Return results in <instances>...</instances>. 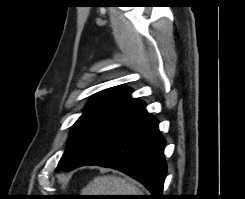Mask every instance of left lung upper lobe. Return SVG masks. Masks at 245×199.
Listing matches in <instances>:
<instances>
[{
  "instance_id": "5c2ea615",
  "label": "left lung upper lobe",
  "mask_w": 245,
  "mask_h": 199,
  "mask_svg": "<svg viewBox=\"0 0 245 199\" xmlns=\"http://www.w3.org/2000/svg\"><path fill=\"white\" fill-rule=\"evenodd\" d=\"M131 93L130 88L119 86L95 94L84 114L72 126L70 140L56 172L68 168L102 128L137 101L131 98Z\"/></svg>"
}]
</instances>
